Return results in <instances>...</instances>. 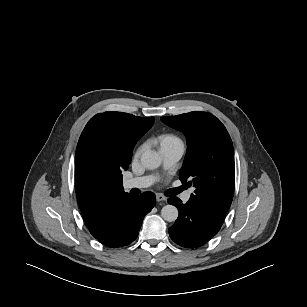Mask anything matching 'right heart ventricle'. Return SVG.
Masks as SVG:
<instances>
[{
  "label": "right heart ventricle",
  "mask_w": 307,
  "mask_h": 307,
  "mask_svg": "<svg viewBox=\"0 0 307 307\" xmlns=\"http://www.w3.org/2000/svg\"><path fill=\"white\" fill-rule=\"evenodd\" d=\"M181 142L178 137L172 134H165L160 137V147L166 144Z\"/></svg>",
  "instance_id": "obj_1"
}]
</instances>
